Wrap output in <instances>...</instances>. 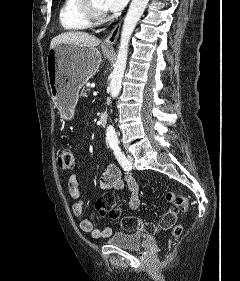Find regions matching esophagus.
Wrapping results in <instances>:
<instances>
[{
  "instance_id": "1",
  "label": "esophagus",
  "mask_w": 240,
  "mask_h": 281,
  "mask_svg": "<svg viewBox=\"0 0 240 281\" xmlns=\"http://www.w3.org/2000/svg\"><path fill=\"white\" fill-rule=\"evenodd\" d=\"M122 21H119L111 30V32L107 35V37L104 39V45L106 46H113L117 40V37L120 32Z\"/></svg>"
}]
</instances>
